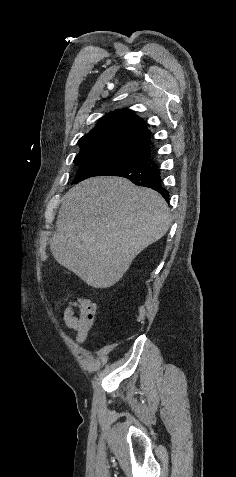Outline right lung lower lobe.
Here are the masks:
<instances>
[{
  "label": "right lung lower lobe",
  "instance_id": "98d812e1",
  "mask_svg": "<svg viewBox=\"0 0 236 477\" xmlns=\"http://www.w3.org/2000/svg\"><path fill=\"white\" fill-rule=\"evenodd\" d=\"M109 176H120L131 180L134 184L155 189L166 201L169 194L161 185L160 170L158 165L147 157L133 165L121 168Z\"/></svg>",
  "mask_w": 236,
  "mask_h": 477
}]
</instances>
